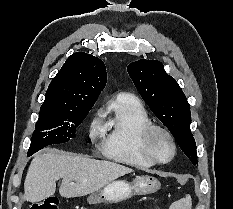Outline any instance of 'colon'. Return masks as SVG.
<instances>
[{
	"mask_svg": "<svg viewBox=\"0 0 233 209\" xmlns=\"http://www.w3.org/2000/svg\"><path fill=\"white\" fill-rule=\"evenodd\" d=\"M30 209H58V202L55 198H48L33 204Z\"/></svg>",
	"mask_w": 233,
	"mask_h": 209,
	"instance_id": "obj_1",
	"label": "colon"
}]
</instances>
